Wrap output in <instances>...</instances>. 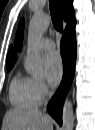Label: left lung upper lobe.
<instances>
[{"instance_id": "left-lung-upper-lobe-1", "label": "left lung upper lobe", "mask_w": 95, "mask_h": 130, "mask_svg": "<svg viewBox=\"0 0 95 130\" xmlns=\"http://www.w3.org/2000/svg\"><path fill=\"white\" fill-rule=\"evenodd\" d=\"M23 29H24V21L22 20L18 26L16 39H15V46L18 50L21 49L22 41H23Z\"/></svg>"}]
</instances>
